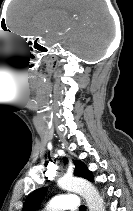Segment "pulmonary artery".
<instances>
[{
  "mask_svg": "<svg viewBox=\"0 0 133 211\" xmlns=\"http://www.w3.org/2000/svg\"><path fill=\"white\" fill-rule=\"evenodd\" d=\"M79 207V198L75 194H59L55 196L48 205L49 211L71 210Z\"/></svg>",
  "mask_w": 133,
  "mask_h": 211,
  "instance_id": "pulmonary-artery-1",
  "label": "pulmonary artery"
}]
</instances>
